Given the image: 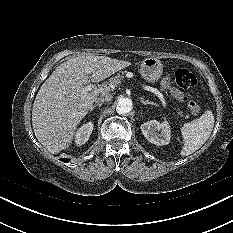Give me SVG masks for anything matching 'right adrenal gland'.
<instances>
[{
  "label": "right adrenal gland",
  "mask_w": 233,
  "mask_h": 233,
  "mask_svg": "<svg viewBox=\"0 0 233 233\" xmlns=\"http://www.w3.org/2000/svg\"><path fill=\"white\" fill-rule=\"evenodd\" d=\"M96 107H101V105L95 104V105L91 106V108H90L89 111H90V112L93 111Z\"/></svg>",
  "instance_id": "1"
}]
</instances>
